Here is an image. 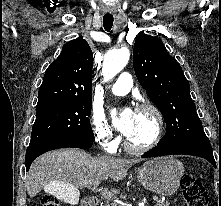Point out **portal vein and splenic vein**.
I'll use <instances>...</instances> for the list:
<instances>
[{"mask_svg":"<svg viewBox=\"0 0 221 206\" xmlns=\"http://www.w3.org/2000/svg\"><path fill=\"white\" fill-rule=\"evenodd\" d=\"M102 196L108 199L113 198V194L108 191H102ZM157 197H153V200H157Z\"/></svg>","mask_w":221,"mask_h":206,"instance_id":"18ae733b","label":"portal vein and splenic vein"}]
</instances>
